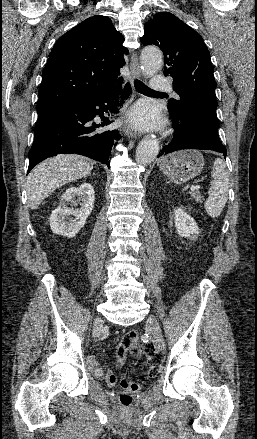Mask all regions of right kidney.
Returning <instances> with one entry per match:
<instances>
[{
  "mask_svg": "<svg viewBox=\"0 0 257 439\" xmlns=\"http://www.w3.org/2000/svg\"><path fill=\"white\" fill-rule=\"evenodd\" d=\"M94 188L89 183L69 187L61 196L59 206L49 218L53 233L72 238L84 226L94 207ZM81 201L80 209L69 208L68 204ZM73 215L75 218H71Z\"/></svg>",
  "mask_w": 257,
  "mask_h": 439,
  "instance_id": "right-kidney-1",
  "label": "right kidney"
}]
</instances>
